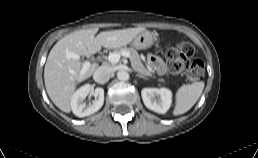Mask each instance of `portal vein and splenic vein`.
I'll return each instance as SVG.
<instances>
[{
    "mask_svg": "<svg viewBox=\"0 0 258 158\" xmlns=\"http://www.w3.org/2000/svg\"><path fill=\"white\" fill-rule=\"evenodd\" d=\"M124 56V57H130V53L127 51H122L121 54H116V53H112L108 56V60L112 63V64H116L119 62L120 60V56ZM66 58L67 59H77L80 60V56L74 52H67L66 54ZM90 62L89 61H84L83 63V68L81 70V74L85 73L86 70L90 67Z\"/></svg>",
    "mask_w": 258,
    "mask_h": 158,
    "instance_id": "18ae733b",
    "label": "portal vein and splenic vein"
}]
</instances>
